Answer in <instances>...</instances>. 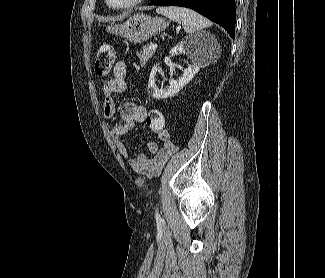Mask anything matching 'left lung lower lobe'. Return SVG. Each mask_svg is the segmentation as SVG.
<instances>
[{
  "instance_id": "obj_1",
  "label": "left lung lower lobe",
  "mask_w": 325,
  "mask_h": 278,
  "mask_svg": "<svg viewBox=\"0 0 325 278\" xmlns=\"http://www.w3.org/2000/svg\"><path fill=\"white\" fill-rule=\"evenodd\" d=\"M149 5L182 6L193 9L224 27L232 38L235 37V0H151Z\"/></svg>"
}]
</instances>
